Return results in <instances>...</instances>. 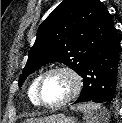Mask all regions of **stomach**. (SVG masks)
<instances>
[{
  "label": "stomach",
  "mask_w": 122,
  "mask_h": 123,
  "mask_svg": "<svg viewBox=\"0 0 122 123\" xmlns=\"http://www.w3.org/2000/svg\"><path fill=\"white\" fill-rule=\"evenodd\" d=\"M76 119L74 117H67L63 114H57L48 117L47 121L44 123H76Z\"/></svg>",
  "instance_id": "obj_1"
}]
</instances>
